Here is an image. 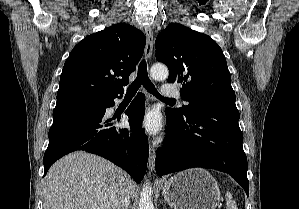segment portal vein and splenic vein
Returning a JSON list of instances; mask_svg holds the SVG:
<instances>
[{
	"instance_id": "portal-vein-and-splenic-vein-1",
	"label": "portal vein and splenic vein",
	"mask_w": 299,
	"mask_h": 209,
	"mask_svg": "<svg viewBox=\"0 0 299 209\" xmlns=\"http://www.w3.org/2000/svg\"><path fill=\"white\" fill-rule=\"evenodd\" d=\"M93 209H99V207H95V208H93Z\"/></svg>"
}]
</instances>
